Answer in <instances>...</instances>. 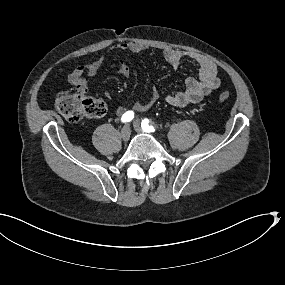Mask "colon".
Listing matches in <instances>:
<instances>
[{"instance_id":"colon-1","label":"colon","mask_w":285,"mask_h":285,"mask_svg":"<svg viewBox=\"0 0 285 285\" xmlns=\"http://www.w3.org/2000/svg\"><path fill=\"white\" fill-rule=\"evenodd\" d=\"M229 97V92L223 91L218 95V100L225 102ZM55 110L68 122L76 123L86 118L102 117L106 113V105L76 88L58 94L55 99Z\"/></svg>"}]
</instances>
